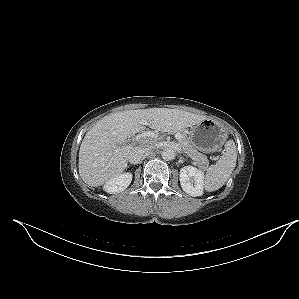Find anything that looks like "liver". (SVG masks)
I'll return each instance as SVG.
<instances>
[{
    "instance_id": "obj_1",
    "label": "liver",
    "mask_w": 299,
    "mask_h": 299,
    "mask_svg": "<svg viewBox=\"0 0 299 299\" xmlns=\"http://www.w3.org/2000/svg\"><path fill=\"white\" fill-rule=\"evenodd\" d=\"M206 116L167 108L127 110L99 120L85 135L79 150V174L89 186L98 187L127 167L132 146H121L141 132L144 125L158 131H180L199 124Z\"/></svg>"
}]
</instances>
